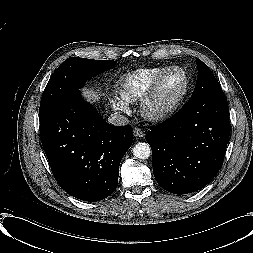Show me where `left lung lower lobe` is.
Instances as JSON below:
<instances>
[{
  "label": "left lung lower lobe",
  "mask_w": 253,
  "mask_h": 253,
  "mask_svg": "<svg viewBox=\"0 0 253 253\" xmlns=\"http://www.w3.org/2000/svg\"><path fill=\"white\" fill-rule=\"evenodd\" d=\"M224 94L206 104L190 100L180 112L146 134L157 183L174 194L205 187L222 167L229 140Z\"/></svg>",
  "instance_id": "left-lung-lower-lobe-1"
}]
</instances>
